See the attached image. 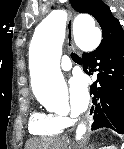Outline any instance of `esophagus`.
Returning a JSON list of instances; mask_svg holds the SVG:
<instances>
[{
	"label": "esophagus",
	"instance_id": "34e87169",
	"mask_svg": "<svg viewBox=\"0 0 124 149\" xmlns=\"http://www.w3.org/2000/svg\"><path fill=\"white\" fill-rule=\"evenodd\" d=\"M68 12H69V19L67 22V44L70 47H73V34H72V24H73V19L75 16V12L68 6ZM94 111L92 109V107H90L89 110V121L91 122L92 117H93Z\"/></svg>",
	"mask_w": 124,
	"mask_h": 149
}]
</instances>
